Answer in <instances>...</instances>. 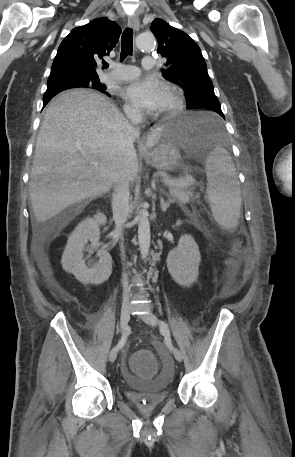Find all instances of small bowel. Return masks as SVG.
I'll use <instances>...</instances> for the list:
<instances>
[{"instance_id": "c3829d8e", "label": "small bowel", "mask_w": 295, "mask_h": 457, "mask_svg": "<svg viewBox=\"0 0 295 457\" xmlns=\"http://www.w3.org/2000/svg\"><path fill=\"white\" fill-rule=\"evenodd\" d=\"M239 287L235 282H229L226 287V293L232 295L238 291Z\"/></svg>"}]
</instances>
